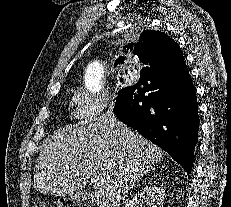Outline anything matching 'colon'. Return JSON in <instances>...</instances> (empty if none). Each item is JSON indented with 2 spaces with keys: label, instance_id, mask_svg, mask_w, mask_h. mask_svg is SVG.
Here are the masks:
<instances>
[{
  "label": "colon",
  "instance_id": "obj_1",
  "mask_svg": "<svg viewBox=\"0 0 231 207\" xmlns=\"http://www.w3.org/2000/svg\"><path fill=\"white\" fill-rule=\"evenodd\" d=\"M35 207H81V206L76 201L66 198H59L52 205H46L43 202H38L35 205Z\"/></svg>",
  "mask_w": 231,
  "mask_h": 207
}]
</instances>
